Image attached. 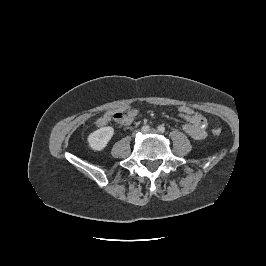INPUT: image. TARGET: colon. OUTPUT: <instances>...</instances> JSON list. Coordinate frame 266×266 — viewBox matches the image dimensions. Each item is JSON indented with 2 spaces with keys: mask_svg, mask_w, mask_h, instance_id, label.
<instances>
[{
  "mask_svg": "<svg viewBox=\"0 0 266 266\" xmlns=\"http://www.w3.org/2000/svg\"><path fill=\"white\" fill-rule=\"evenodd\" d=\"M178 112L180 115L191 117L196 114V111L187 105H181L178 108ZM134 117V111L133 109H126L122 111H118L113 114L112 118L115 122L120 123V124H126L130 120H132ZM212 133L214 135H220L221 134V129L220 128H214L212 130Z\"/></svg>",
  "mask_w": 266,
  "mask_h": 266,
  "instance_id": "colon-1",
  "label": "colon"
}]
</instances>
